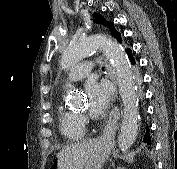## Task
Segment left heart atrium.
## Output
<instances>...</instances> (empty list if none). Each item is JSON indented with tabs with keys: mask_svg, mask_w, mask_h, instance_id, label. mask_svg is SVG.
<instances>
[{
	"mask_svg": "<svg viewBox=\"0 0 177 169\" xmlns=\"http://www.w3.org/2000/svg\"><path fill=\"white\" fill-rule=\"evenodd\" d=\"M88 112L92 117L103 114L110 103V88L106 83L90 80L85 85Z\"/></svg>",
	"mask_w": 177,
	"mask_h": 169,
	"instance_id": "obj_1",
	"label": "left heart atrium"
}]
</instances>
